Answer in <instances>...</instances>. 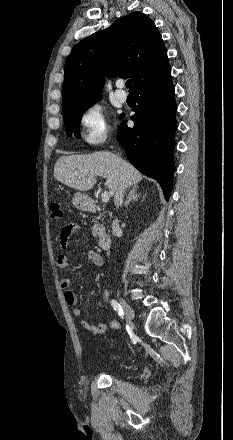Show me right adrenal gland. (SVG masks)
I'll return each mask as SVG.
<instances>
[{"instance_id":"2a0ac1e0","label":"right adrenal gland","mask_w":233,"mask_h":440,"mask_svg":"<svg viewBox=\"0 0 233 440\" xmlns=\"http://www.w3.org/2000/svg\"><path fill=\"white\" fill-rule=\"evenodd\" d=\"M137 189H138V186L132 187V189L130 190V193L127 197V200L124 202L125 207H127L132 200H136L138 197L141 196V194H137Z\"/></svg>"}]
</instances>
